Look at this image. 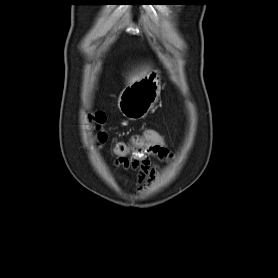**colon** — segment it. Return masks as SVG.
Instances as JSON below:
<instances>
[{
    "label": "colon",
    "mask_w": 278,
    "mask_h": 278,
    "mask_svg": "<svg viewBox=\"0 0 278 278\" xmlns=\"http://www.w3.org/2000/svg\"><path fill=\"white\" fill-rule=\"evenodd\" d=\"M90 119L94 123L96 129L98 130L99 139L103 141L105 139V134L100 130V127L105 121L104 114L100 111H97L90 116ZM144 136L149 142L166 148L165 139L156 131L146 130ZM113 153L118 158L129 157L132 159H136L139 157L137 152L125 142L117 143L113 148Z\"/></svg>",
    "instance_id": "obj_1"
}]
</instances>
